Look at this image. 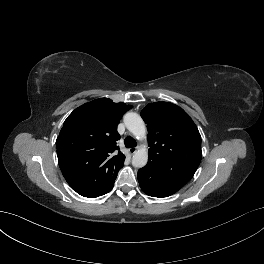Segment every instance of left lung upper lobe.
Wrapping results in <instances>:
<instances>
[{
    "instance_id": "obj_1",
    "label": "left lung upper lobe",
    "mask_w": 264,
    "mask_h": 264,
    "mask_svg": "<svg viewBox=\"0 0 264 264\" xmlns=\"http://www.w3.org/2000/svg\"><path fill=\"white\" fill-rule=\"evenodd\" d=\"M147 123L149 160L168 174L190 180L201 158V136L195 123L179 106L169 102L147 104L141 111Z\"/></svg>"
}]
</instances>
